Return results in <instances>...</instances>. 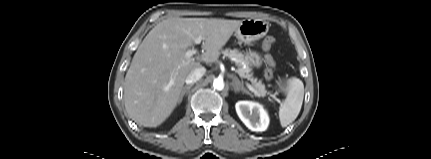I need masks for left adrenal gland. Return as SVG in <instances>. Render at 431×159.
I'll return each instance as SVG.
<instances>
[{
	"instance_id": "obj_1",
	"label": "left adrenal gland",
	"mask_w": 431,
	"mask_h": 159,
	"mask_svg": "<svg viewBox=\"0 0 431 159\" xmlns=\"http://www.w3.org/2000/svg\"><path fill=\"white\" fill-rule=\"evenodd\" d=\"M231 85H232L235 93L242 91L243 93H246V94L252 96V94L247 89L244 88V86L242 85V83L239 81V79L236 76L233 77V81H232Z\"/></svg>"
}]
</instances>
